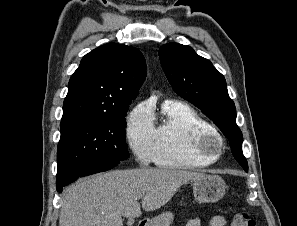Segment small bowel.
I'll return each instance as SVG.
<instances>
[{
	"instance_id": "c3829d8e",
	"label": "small bowel",
	"mask_w": 297,
	"mask_h": 226,
	"mask_svg": "<svg viewBox=\"0 0 297 226\" xmlns=\"http://www.w3.org/2000/svg\"><path fill=\"white\" fill-rule=\"evenodd\" d=\"M201 219L199 217H195L191 219L186 226H201ZM209 226H227V220L224 216L217 215L213 216L209 221Z\"/></svg>"
}]
</instances>
